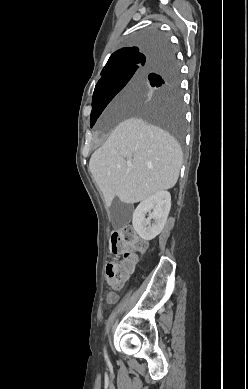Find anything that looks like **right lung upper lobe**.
Segmentation results:
<instances>
[{
  "instance_id": "1",
  "label": "right lung upper lobe",
  "mask_w": 248,
  "mask_h": 389,
  "mask_svg": "<svg viewBox=\"0 0 248 389\" xmlns=\"http://www.w3.org/2000/svg\"><path fill=\"white\" fill-rule=\"evenodd\" d=\"M164 46L165 45H155L150 47L145 44H141L139 48H122L110 56L101 72V75H105L119 68L136 64L142 68H146L156 62V60L160 57L158 51Z\"/></svg>"
}]
</instances>
